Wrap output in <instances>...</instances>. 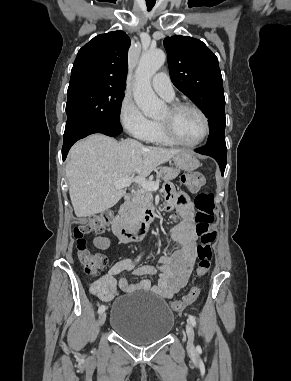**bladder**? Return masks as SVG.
<instances>
[{"mask_svg":"<svg viewBox=\"0 0 291 381\" xmlns=\"http://www.w3.org/2000/svg\"><path fill=\"white\" fill-rule=\"evenodd\" d=\"M174 319L163 299L135 291L112 303L110 328L129 342L147 345L165 338L173 328Z\"/></svg>","mask_w":291,"mask_h":381,"instance_id":"obj_1","label":"bladder"}]
</instances>
